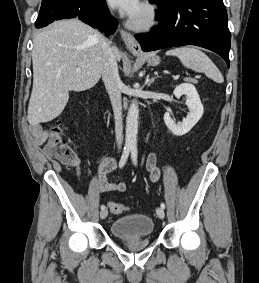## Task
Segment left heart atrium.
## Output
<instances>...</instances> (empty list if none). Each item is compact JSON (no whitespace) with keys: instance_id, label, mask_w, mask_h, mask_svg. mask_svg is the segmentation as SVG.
<instances>
[{"instance_id":"1","label":"left heart atrium","mask_w":259,"mask_h":283,"mask_svg":"<svg viewBox=\"0 0 259 283\" xmlns=\"http://www.w3.org/2000/svg\"><path fill=\"white\" fill-rule=\"evenodd\" d=\"M112 5L117 7L123 14L130 18H134L135 15L141 9L140 0H109Z\"/></svg>"}]
</instances>
